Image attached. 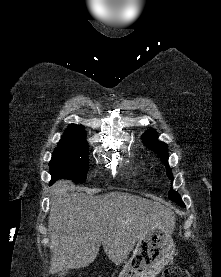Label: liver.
<instances>
[{
	"label": "liver",
	"instance_id": "6515ba94",
	"mask_svg": "<svg viewBox=\"0 0 221 277\" xmlns=\"http://www.w3.org/2000/svg\"><path fill=\"white\" fill-rule=\"evenodd\" d=\"M51 195V274L90 265L101 244L108 258L121 264L152 228L173 230L175 217L169 208L132 194L71 193L70 182L59 180L52 186Z\"/></svg>",
	"mask_w": 221,
	"mask_h": 277
}]
</instances>
